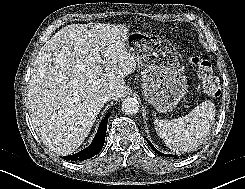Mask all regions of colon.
I'll list each match as a JSON object with an SVG mask.
<instances>
[{
  "label": "colon",
  "instance_id": "5ec220e1",
  "mask_svg": "<svg viewBox=\"0 0 245 189\" xmlns=\"http://www.w3.org/2000/svg\"><path fill=\"white\" fill-rule=\"evenodd\" d=\"M190 64L196 69L206 90L217 91L219 89V80L214 75L212 66L207 60L193 57L190 59Z\"/></svg>",
  "mask_w": 245,
  "mask_h": 189
}]
</instances>
